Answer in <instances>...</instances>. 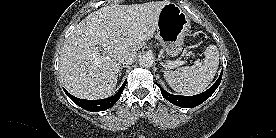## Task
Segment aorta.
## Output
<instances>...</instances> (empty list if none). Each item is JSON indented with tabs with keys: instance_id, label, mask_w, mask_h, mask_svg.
I'll return each mask as SVG.
<instances>
[{
	"instance_id": "obj_1",
	"label": "aorta",
	"mask_w": 276,
	"mask_h": 138,
	"mask_svg": "<svg viewBox=\"0 0 276 138\" xmlns=\"http://www.w3.org/2000/svg\"><path fill=\"white\" fill-rule=\"evenodd\" d=\"M153 64V58L152 56L148 54H143L139 58V65L142 67H151Z\"/></svg>"
}]
</instances>
